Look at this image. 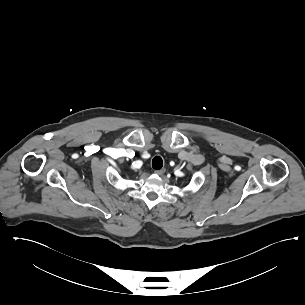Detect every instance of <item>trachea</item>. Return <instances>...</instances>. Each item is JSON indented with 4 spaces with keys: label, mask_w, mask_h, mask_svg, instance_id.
<instances>
[{
    "label": "trachea",
    "mask_w": 305,
    "mask_h": 305,
    "mask_svg": "<svg viewBox=\"0 0 305 305\" xmlns=\"http://www.w3.org/2000/svg\"><path fill=\"white\" fill-rule=\"evenodd\" d=\"M163 166V160L160 156H155L152 160V167L156 170H160Z\"/></svg>",
    "instance_id": "obj_1"
}]
</instances>
